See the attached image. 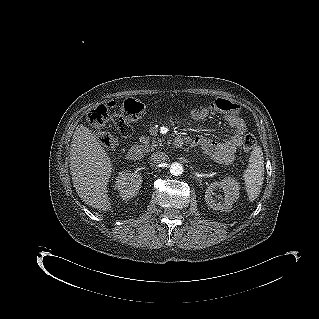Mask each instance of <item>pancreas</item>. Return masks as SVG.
Returning <instances> with one entry per match:
<instances>
[{"label": "pancreas", "mask_w": 319, "mask_h": 319, "mask_svg": "<svg viewBox=\"0 0 319 319\" xmlns=\"http://www.w3.org/2000/svg\"><path fill=\"white\" fill-rule=\"evenodd\" d=\"M139 140H140V142L144 143L145 148L148 149L149 147H153L152 145H149V143H150L149 137L140 136Z\"/></svg>", "instance_id": "obj_1"}]
</instances>
